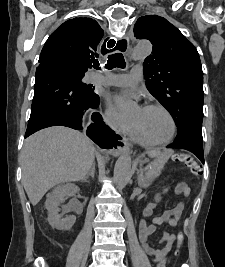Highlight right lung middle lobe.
<instances>
[{
    "label": "right lung middle lobe",
    "instance_id": "obj_1",
    "mask_svg": "<svg viewBox=\"0 0 225 267\" xmlns=\"http://www.w3.org/2000/svg\"><path fill=\"white\" fill-rule=\"evenodd\" d=\"M84 75H78V85L86 96H88L93 103L99 105V96L94 92V87L81 82Z\"/></svg>",
    "mask_w": 225,
    "mask_h": 267
}]
</instances>
